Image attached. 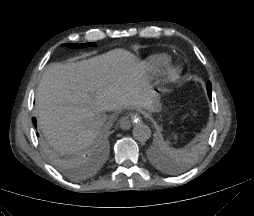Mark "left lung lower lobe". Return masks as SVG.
<instances>
[{"mask_svg":"<svg viewBox=\"0 0 254 216\" xmlns=\"http://www.w3.org/2000/svg\"><path fill=\"white\" fill-rule=\"evenodd\" d=\"M208 83L211 84L210 82H208ZM208 92H210V94H208V95H209V98L211 99V90Z\"/></svg>","mask_w":254,"mask_h":216,"instance_id":"obj_1","label":"left lung lower lobe"}]
</instances>
